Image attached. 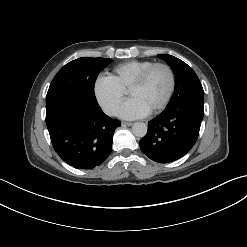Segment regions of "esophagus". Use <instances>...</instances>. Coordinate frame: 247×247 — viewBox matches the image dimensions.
<instances>
[{
	"label": "esophagus",
	"instance_id": "1",
	"mask_svg": "<svg viewBox=\"0 0 247 247\" xmlns=\"http://www.w3.org/2000/svg\"><path fill=\"white\" fill-rule=\"evenodd\" d=\"M122 124L125 126H132L133 125L132 122H125V121H123Z\"/></svg>",
	"mask_w": 247,
	"mask_h": 247
}]
</instances>
